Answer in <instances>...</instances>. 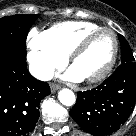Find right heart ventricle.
<instances>
[{
    "label": "right heart ventricle",
    "mask_w": 136,
    "mask_h": 136,
    "mask_svg": "<svg viewBox=\"0 0 136 136\" xmlns=\"http://www.w3.org/2000/svg\"><path fill=\"white\" fill-rule=\"evenodd\" d=\"M100 28V26L91 22L67 21L52 26L44 33L54 48L64 56H68L86 35Z\"/></svg>",
    "instance_id": "obj_1"
}]
</instances>
